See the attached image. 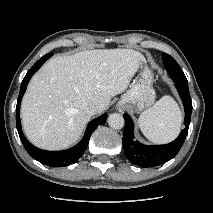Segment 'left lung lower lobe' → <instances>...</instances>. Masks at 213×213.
I'll use <instances>...</instances> for the list:
<instances>
[{
    "mask_svg": "<svg viewBox=\"0 0 213 213\" xmlns=\"http://www.w3.org/2000/svg\"><path fill=\"white\" fill-rule=\"evenodd\" d=\"M178 93L182 99L185 109L184 130L179 137L166 145L147 146L134 140V124L128 114H124L125 129L123 135V148L127 158L135 165L140 167H151L160 165L174 158L181 149L188 133L191 120L192 101L189 94L188 85L175 83Z\"/></svg>",
    "mask_w": 213,
    "mask_h": 213,
    "instance_id": "obj_1",
    "label": "left lung lower lobe"
}]
</instances>
